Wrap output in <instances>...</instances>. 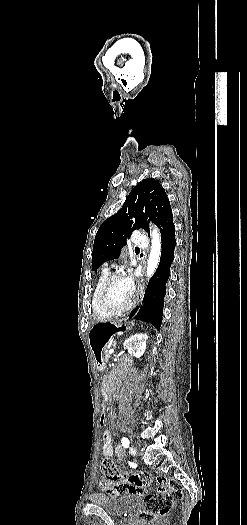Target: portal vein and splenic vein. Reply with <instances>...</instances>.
Returning <instances> with one entry per match:
<instances>
[{
  "label": "portal vein and splenic vein",
  "instance_id": "obj_1",
  "mask_svg": "<svg viewBox=\"0 0 247 525\" xmlns=\"http://www.w3.org/2000/svg\"><path fill=\"white\" fill-rule=\"evenodd\" d=\"M109 353H114V347H110Z\"/></svg>",
  "mask_w": 247,
  "mask_h": 525
}]
</instances>
